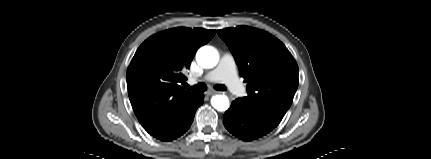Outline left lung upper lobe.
Returning <instances> with one entry per match:
<instances>
[{"mask_svg":"<svg viewBox=\"0 0 431 159\" xmlns=\"http://www.w3.org/2000/svg\"><path fill=\"white\" fill-rule=\"evenodd\" d=\"M232 52L247 83V106L283 118L298 87V65L271 34L248 26L217 31Z\"/></svg>","mask_w":431,"mask_h":159,"instance_id":"5c2ea615","label":"left lung upper lobe"}]
</instances>
